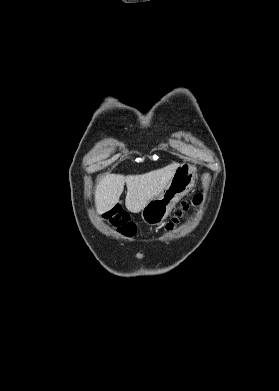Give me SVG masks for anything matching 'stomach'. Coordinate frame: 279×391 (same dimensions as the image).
Returning a JSON list of instances; mask_svg holds the SVG:
<instances>
[{
	"label": "stomach",
	"instance_id": "0dacf381",
	"mask_svg": "<svg viewBox=\"0 0 279 391\" xmlns=\"http://www.w3.org/2000/svg\"><path fill=\"white\" fill-rule=\"evenodd\" d=\"M195 180L196 174L193 166L181 164L165 189L142 209L143 221L149 225L161 224L178 201L193 188Z\"/></svg>",
	"mask_w": 279,
	"mask_h": 391
}]
</instances>
